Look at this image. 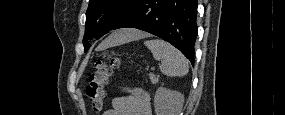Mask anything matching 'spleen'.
<instances>
[{
	"instance_id": "1",
	"label": "spleen",
	"mask_w": 285,
	"mask_h": 115,
	"mask_svg": "<svg viewBox=\"0 0 285 115\" xmlns=\"http://www.w3.org/2000/svg\"><path fill=\"white\" fill-rule=\"evenodd\" d=\"M155 60H161L160 70L170 77H183L189 71L187 58L175 47L161 39L145 41Z\"/></svg>"
}]
</instances>
